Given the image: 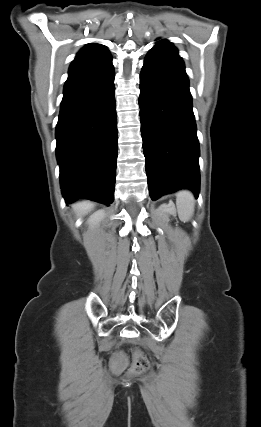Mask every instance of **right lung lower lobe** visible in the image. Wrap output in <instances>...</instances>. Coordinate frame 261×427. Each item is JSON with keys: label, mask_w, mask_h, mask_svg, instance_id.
I'll use <instances>...</instances> for the list:
<instances>
[{"label": "right lung lower lobe", "mask_w": 261, "mask_h": 427, "mask_svg": "<svg viewBox=\"0 0 261 427\" xmlns=\"http://www.w3.org/2000/svg\"><path fill=\"white\" fill-rule=\"evenodd\" d=\"M115 72L106 70L64 86L56 126V155L67 203L114 200L117 160Z\"/></svg>", "instance_id": "98d812e1"}]
</instances>
